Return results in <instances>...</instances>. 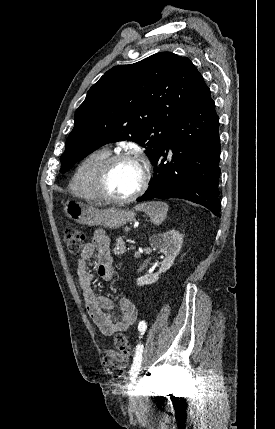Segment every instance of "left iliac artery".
<instances>
[{"label": "left iliac artery", "instance_id": "1", "mask_svg": "<svg viewBox=\"0 0 275 429\" xmlns=\"http://www.w3.org/2000/svg\"><path fill=\"white\" fill-rule=\"evenodd\" d=\"M147 329V323L145 321H140L138 325V330L143 335ZM142 354H143V345L139 344L136 348L135 357L133 360V364L130 369V380L135 381L142 362Z\"/></svg>", "mask_w": 275, "mask_h": 429}]
</instances>
